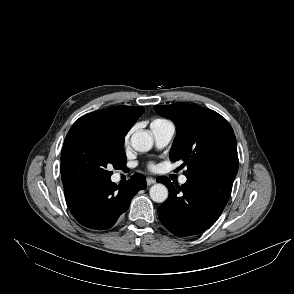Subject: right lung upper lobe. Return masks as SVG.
<instances>
[{"label": "right lung upper lobe", "mask_w": 294, "mask_h": 294, "mask_svg": "<svg viewBox=\"0 0 294 294\" xmlns=\"http://www.w3.org/2000/svg\"><path fill=\"white\" fill-rule=\"evenodd\" d=\"M144 113L143 107L114 106L80 117L67 136L77 131H102L124 136ZM66 136V137H67Z\"/></svg>", "instance_id": "cb5924a9"}]
</instances>
